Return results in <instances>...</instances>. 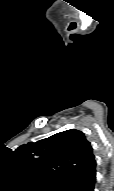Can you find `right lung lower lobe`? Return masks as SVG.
<instances>
[{
	"mask_svg": "<svg viewBox=\"0 0 114 191\" xmlns=\"http://www.w3.org/2000/svg\"><path fill=\"white\" fill-rule=\"evenodd\" d=\"M95 182L96 170L64 183L59 188H56V191H94Z\"/></svg>",
	"mask_w": 114,
	"mask_h": 191,
	"instance_id": "1",
	"label": "right lung lower lobe"
}]
</instances>
